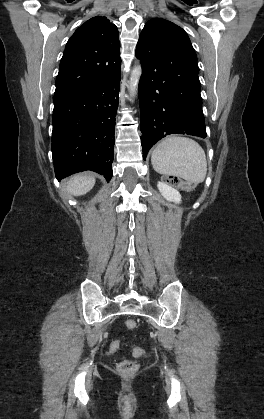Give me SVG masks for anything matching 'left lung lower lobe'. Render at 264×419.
Returning <instances> with one entry per match:
<instances>
[{
	"instance_id": "left-lung-lower-lobe-1",
	"label": "left lung lower lobe",
	"mask_w": 264,
	"mask_h": 419,
	"mask_svg": "<svg viewBox=\"0 0 264 419\" xmlns=\"http://www.w3.org/2000/svg\"><path fill=\"white\" fill-rule=\"evenodd\" d=\"M162 49L151 45L138 51L142 63L139 82L143 157L169 134L206 137L199 79L166 75L160 65Z\"/></svg>"
}]
</instances>
